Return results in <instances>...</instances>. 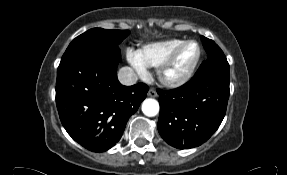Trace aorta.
Listing matches in <instances>:
<instances>
[{"label":"aorta","instance_id":"obj_1","mask_svg":"<svg viewBox=\"0 0 287 175\" xmlns=\"http://www.w3.org/2000/svg\"><path fill=\"white\" fill-rule=\"evenodd\" d=\"M142 112L148 116L153 117L159 113V103L153 98L145 99L142 103Z\"/></svg>","mask_w":287,"mask_h":175}]
</instances>
